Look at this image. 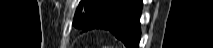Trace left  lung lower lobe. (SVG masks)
<instances>
[{
    "mask_svg": "<svg viewBox=\"0 0 213 48\" xmlns=\"http://www.w3.org/2000/svg\"><path fill=\"white\" fill-rule=\"evenodd\" d=\"M141 10V0H114L100 9L82 30L83 32L90 29L109 30L127 48H138Z\"/></svg>",
    "mask_w": 213,
    "mask_h": 48,
    "instance_id": "1",
    "label": "left lung lower lobe"
}]
</instances>
